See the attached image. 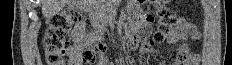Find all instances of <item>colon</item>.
Returning <instances> with one entry per match:
<instances>
[{"label":"colon","instance_id":"obj_1","mask_svg":"<svg viewBox=\"0 0 232 65\" xmlns=\"http://www.w3.org/2000/svg\"><path fill=\"white\" fill-rule=\"evenodd\" d=\"M158 17V28L153 37L145 43L146 46L164 42L175 30L177 22L174 12L165 1H154ZM84 18L75 8H69L51 18L49 27L43 39L45 62L47 65H65V46L69 41V30L72 25L82 23ZM104 51L103 46L88 49L82 53V61L91 65L98 55Z\"/></svg>","mask_w":232,"mask_h":65}]
</instances>
